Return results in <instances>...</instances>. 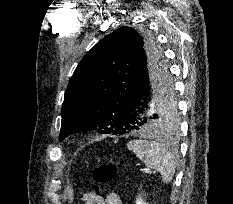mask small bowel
<instances>
[{
  "label": "small bowel",
  "mask_w": 233,
  "mask_h": 204,
  "mask_svg": "<svg viewBox=\"0 0 233 204\" xmlns=\"http://www.w3.org/2000/svg\"><path fill=\"white\" fill-rule=\"evenodd\" d=\"M83 199L85 204H123L119 195L114 192L107 194L106 197L95 193H86L83 195Z\"/></svg>",
  "instance_id": "c3829d8e"
}]
</instances>
